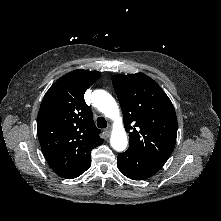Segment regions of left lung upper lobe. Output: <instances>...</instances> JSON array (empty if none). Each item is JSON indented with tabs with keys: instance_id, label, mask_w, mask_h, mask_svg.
<instances>
[{
	"instance_id": "left-lung-upper-lobe-1",
	"label": "left lung upper lobe",
	"mask_w": 221,
	"mask_h": 221,
	"mask_svg": "<svg viewBox=\"0 0 221 221\" xmlns=\"http://www.w3.org/2000/svg\"><path fill=\"white\" fill-rule=\"evenodd\" d=\"M112 83L129 133L128 149L165 164L177 136L172 102L161 87L143 73L114 75Z\"/></svg>"
}]
</instances>
